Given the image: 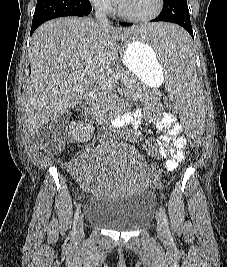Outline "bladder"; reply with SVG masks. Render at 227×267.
Masks as SVG:
<instances>
[{"label":"bladder","mask_w":227,"mask_h":267,"mask_svg":"<svg viewBox=\"0 0 227 267\" xmlns=\"http://www.w3.org/2000/svg\"><path fill=\"white\" fill-rule=\"evenodd\" d=\"M154 196L148 191L107 199L90 196L84 216L90 225L118 232H130L154 215Z\"/></svg>","instance_id":"obj_1"}]
</instances>
